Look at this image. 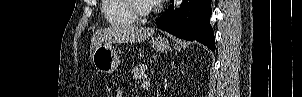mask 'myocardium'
Returning <instances> with one entry per match:
<instances>
[{
  "label": "myocardium",
  "mask_w": 302,
  "mask_h": 97,
  "mask_svg": "<svg viewBox=\"0 0 302 97\" xmlns=\"http://www.w3.org/2000/svg\"><path fill=\"white\" fill-rule=\"evenodd\" d=\"M138 1L139 0H128L127 2L129 10L137 18V20H144L156 10L155 5L148 4L145 7H141L138 4Z\"/></svg>",
  "instance_id": "f54148a6"
}]
</instances>
